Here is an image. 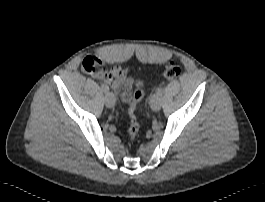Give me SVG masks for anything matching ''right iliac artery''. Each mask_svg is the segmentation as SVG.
I'll use <instances>...</instances> for the list:
<instances>
[{
	"mask_svg": "<svg viewBox=\"0 0 265 202\" xmlns=\"http://www.w3.org/2000/svg\"><path fill=\"white\" fill-rule=\"evenodd\" d=\"M101 89L105 93H107L109 91V87L104 83L101 84Z\"/></svg>",
	"mask_w": 265,
	"mask_h": 202,
	"instance_id": "obj_1",
	"label": "right iliac artery"
}]
</instances>
